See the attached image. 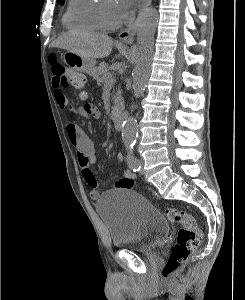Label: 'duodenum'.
I'll list each match as a JSON object with an SVG mask.
<instances>
[{
	"mask_svg": "<svg viewBox=\"0 0 245 300\" xmlns=\"http://www.w3.org/2000/svg\"><path fill=\"white\" fill-rule=\"evenodd\" d=\"M114 125L118 130H121L123 128L124 123V116L122 114H116L113 118Z\"/></svg>",
	"mask_w": 245,
	"mask_h": 300,
	"instance_id": "1",
	"label": "duodenum"
}]
</instances>
